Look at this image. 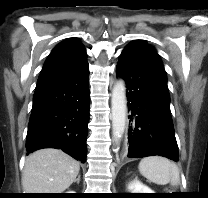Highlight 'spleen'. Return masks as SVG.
Returning a JSON list of instances; mask_svg holds the SVG:
<instances>
[{"label":"spleen","mask_w":208,"mask_h":198,"mask_svg":"<svg viewBox=\"0 0 208 198\" xmlns=\"http://www.w3.org/2000/svg\"><path fill=\"white\" fill-rule=\"evenodd\" d=\"M138 169L144 177L155 184L166 185L170 183L173 186H177L180 183L178 167L164 157L152 156L143 158L139 163Z\"/></svg>","instance_id":"3e777b00"}]
</instances>
